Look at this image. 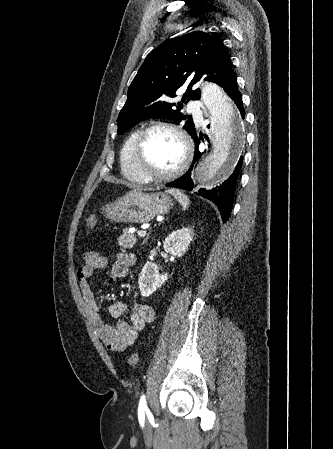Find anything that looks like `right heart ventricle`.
I'll return each instance as SVG.
<instances>
[{
	"mask_svg": "<svg viewBox=\"0 0 333 449\" xmlns=\"http://www.w3.org/2000/svg\"><path fill=\"white\" fill-rule=\"evenodd\" d=\"M140 133L139 129L133 130L125 139L121 151H120V162H121V170L123 175L132 181L137 182H146L137 172L134 159V144L136 139Z\"/></svg>",
	"mask_w": 333,
	"mask_h": 449,
	"instance_id": "e07e8e85",
	"label": "right heart ventricle"
}]
</instances>
